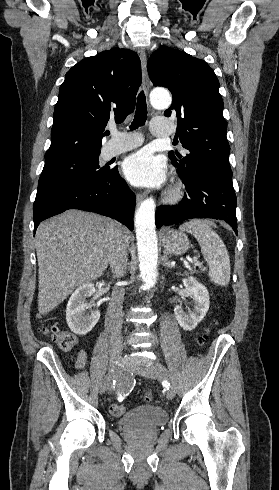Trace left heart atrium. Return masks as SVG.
<instances>
[{
	"instance_id": "left-heart-atrium-1",
	"label": "left heart atrium",
	"mask_w": 279,
	"mask_h": 490,
	"mask_svg": "<svg viewBox=\"0 0 279 490\" xmlns=\"http://www.w3.org/2000/svg\"><path fill=\"white\" fill-rule=\"evenodd\" d=\"M122 172L132 185L143 188H160L167 173L165 161L147 149L126 157Z\"/></svg>"
}]
</instances>
